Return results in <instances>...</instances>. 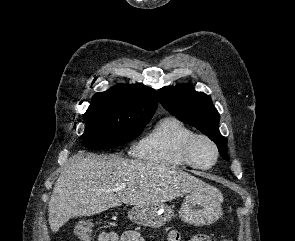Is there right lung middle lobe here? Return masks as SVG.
Masks as SVG:
<instances>
[{
  "instance_id": "obj_1",
  "label": "right lung middle lobe",
  "mask_w": 295,
  "mask_h": 241,
  "mask_svg": "<svg viewBox=\"0 0 295 241\" xmlns=\"http://www.w3.org/2000/svg\"><path fill=\"white\" fill-rule=\"evenodd\" d=\"M153 113L128 106L119 100L94 95L83 114L86 129L81 139L90 149H110L138 137Z\"/></svg>"
}]
</instances>
